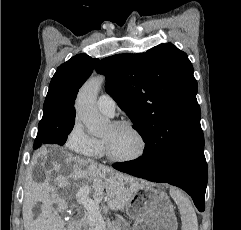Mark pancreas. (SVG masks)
Masks as SVG:
<instances>
[{
  "instance_id": "1",
  "label": "pancreas",
  "mask_w": 241,
  "mask_h": 230,
  "mask_svg": "<svg viewBox=\"0 0 241 230\" xmlns=\"http://www.w3.org/2000/svg\"><path fill=\"white\" fill-rule=\"evenodd\" d=\"M98 227L89 220V213L79 219L73 226L71 230H98ZM102 230H125L124 224H118L116 222L106 223Z\"/></svg>"
}]
</instances>
